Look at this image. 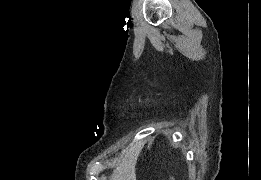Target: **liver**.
<instances>
[{"mask_svg":"<svg viewBox=\"0 0 261 180\" xmlns=\"http://www.w3.org/2000/svg\"><path fill=\"white\" fill-rule=\"evenodd\" d=\"M139 154L140 148H138V146L129 148L122 160H119V164H116V168L113 170L110 180H136L135 166Z\"/></svg>","mask_w":261,"mask_h":180,"instance_id":"6515ba94","label":"liver"}]
</instances>
